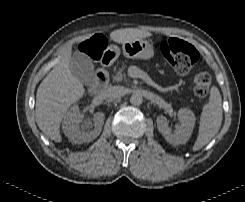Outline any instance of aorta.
Here are the masks:
<instances>
[{"label":"aorta","mask_w":245,"mask_h":202,"mask_svg":"<svg viewBox=\"0 0 245 202\" xmlns=\"http://www.w3.org/2000/svg\"><path fill=\"white\" fill-rule=\"evenodd\" d=\"M143 98L142 95L139 93H134L130 97V103L134 106H139L142 104Z\"/></svg>","instance_id":"762f6f07"}]
</instances>
